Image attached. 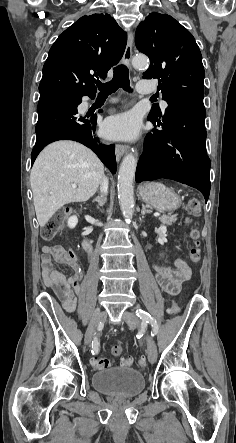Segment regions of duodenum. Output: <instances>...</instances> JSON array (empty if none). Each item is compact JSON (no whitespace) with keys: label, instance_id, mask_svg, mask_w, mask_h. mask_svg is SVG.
<instances>
[{"label":"duodenum","instance_id":"obj_1","mask_svg":"<svg viewBox=\"0 0 236 443\" xmlns=\"http://www.w3.org/2000/svg\"><path fill=\"white\" fill-rule=\"evenodd\" d=\"M84 245L88 250L90 249V238L88 236L84 238Z\"/></svg>","mask_w":236,"mask_h":443}]
</instances>
